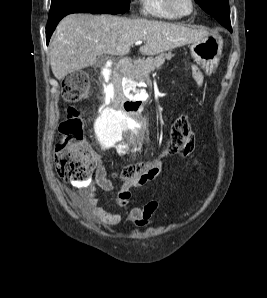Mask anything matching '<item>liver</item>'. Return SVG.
<instances>
[{"mask_svg": "<svg viewBox=\"0 0 267 298\" xmlns=\"http://www.w3.org/2000/svg\"><path fill=\"white\" fill-rule=\"evenodd\" d=\"M209 33L202 29L147 19L113 15L71 14L63 18L51 40L50 64L60 80L67 74L94 65L103 54L124 56L138 40L144 55H155L202 41Z\"/></svg>", "mask_w": 267, "mask_h": 298, "instance_id": "obj_1", "label": "liver"}]
</instances>
